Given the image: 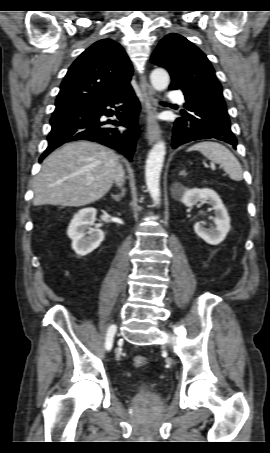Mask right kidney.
I'll list each match as a JSON object with an SVG mask.
<instances>
[{
  "label": "right kidney",
  "mask_w": 270,
  "mask_h": 453,
  "mask_svg": "<svg viewBox=\"0 0 270 453\" xmlns=\"http://www.w3.org/2000/svg\"><path fill=\"white\" fill-rule=\"evenodd\" d=\"M95 208H84L74 215L67 230L72 240V248L79 256H86L99 247L104 240V232L92 228L96 220Z\"/></svg>",
  "instance_id": "ca27d5eb"
}]
</instances>
